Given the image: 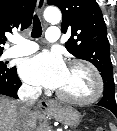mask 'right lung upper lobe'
I'll use <instances>...</instances> for the list:
<instances>
[{
    "label": "right lung upper lobe",
    "mask_w": 117,
    "mask_h": 131,
    "mask_svg": "<svg viewBox=\"0 0 117 131\" xmlns=\"http://www.w3.org/2000/svg\"><path fill=\"white\" fill-rule=\"evenodd\" d=\"M36 0H0V52L7 40L5 32L24 30L31 25Z\"/></svg>",
    "instance_id": "right-lung-upper-lobe-1"
}]
</instances>
